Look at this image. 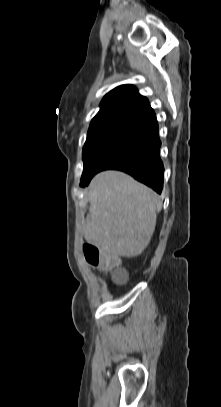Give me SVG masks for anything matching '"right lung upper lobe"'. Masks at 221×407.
<instances>
[{
    "label": "right lung upper lobe",
    "mask_w": 221,
    "mask_h": 407,
    "mask_svg": "<svg viewBox=\"0 0 221 407\" xmlns=\"http://www.w3.org/2000/svg\"><path fill=\"white\" fill-rule=\"evenodd\" d=\"M92 119L88 133L117 126L141 127L155 117L147 98L133 85H121L110 91Z\"/></svg>",
    "instance_id": "obj_1"
}]
</instances>
